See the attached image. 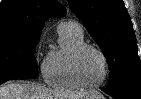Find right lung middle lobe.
Returning <instances> with one entry per match:
<instances>
[{
	"instance_id": "obj_1",
	"label": "right lung middle lobe",
	"mask_w": 141,
	"mask_h": 99,
	"mask_svg": "<svg viewBox=\"0 0 141 99\" xmlns=\"http://www.w3.org/2000/svg\"><path fill=\"white\" fill-rule=\"evenodd\" d=\"M39 37L18 31L0 32V80L38 75L33 52Z\"/></svg>"
}]
</instances>
